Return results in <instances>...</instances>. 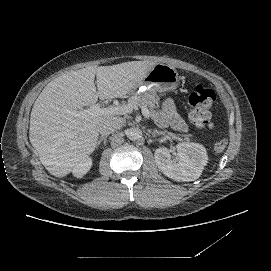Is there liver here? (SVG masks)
<instances>
[{
    "label": "liver",
    "instance_id": "6515ba94",
    "mask_svg": "<svg viewBox=\"0 0 271 271\" xmlns=\"http://www.w3.org/2000/svg\"><path fill=\"white\" fill-rule=\"evenodd\" d=\"M156 63L131 61L112 66H89L49 82L36 99L30 117L29 140L53 176L64 177L94 152L99 125L122 120L113 113L75 117L71 112L94 105L98 98H124ZM96 76V85L94 83Z\"/></svg>",
    "mask_w": 271,
    "mask_h": 271
}]
</instances>
